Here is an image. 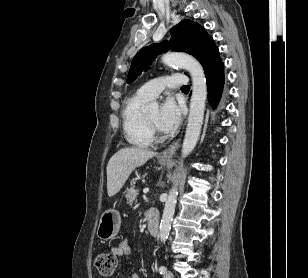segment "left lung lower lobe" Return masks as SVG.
<instances>
[{
    "instance_id": "obj_1",
    "label": "left lung lower lobe",
    "mask_w": 308,
    "mask_h": 278,
    "mask_svg": "<svg viewBox=\"0 0 308 278\" xmlns=\"http://www.w3.org/2000/svg\"><path fill=\"white\" fill-rule=\"evenodd\" d=\"M208 99L212 106L218 103L224 84V64L221 62L218 66L205 73Z\"/></svg>"
}]
</instances>
